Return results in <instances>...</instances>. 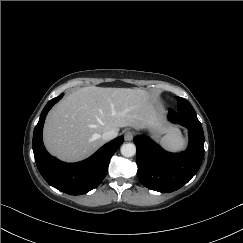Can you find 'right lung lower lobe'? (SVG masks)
Here are the masks:
<instances>
[{
    "mask_svg": "<svg viewBox=\"0 0 243 243\" xmlns=\"http://www.w3.org/2000/svg\"><path fill=\"white\" fill-rule=\"evenodd\" d=\"M63 94L50 100L44 107L33 134V152L37 168L45 181L54 188L70 194L81 195L96 188L104 179L110 159L124 141L117 137L102 146L88 159L78 163H64L51 156L42 141V129L48 111Z\"/></svg>",
    "mask_w": 243,
    "mask_h": 243,
    "instance_id": "right-lung-lower-lobe-1",
    "label": "right lung lower lobe"
}]
</instances>
